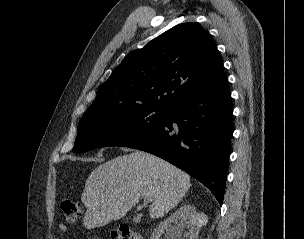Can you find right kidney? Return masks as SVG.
<instances>
[{
    "mask_svg": "<svg viewBox=\"0 0 304 239\" xmlns=\"http://www.w3.org/2000/svg\"><path fill=\"white\" fill-rule=\"evenodd\" d=\"M206 223L205 215L198 214L194 206L185 204L161 222L150 239H158L164 231L166 239H198L200 228Z\"/></svg>",
    "mask_w": 304,
    "mask_h": 239,
    "instance_id": "1",
    "label": "right kidney"
}]
</instances>
